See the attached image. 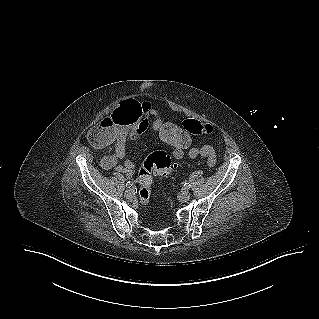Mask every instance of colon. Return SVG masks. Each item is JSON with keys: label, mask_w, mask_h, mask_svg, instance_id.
<instances>
[{"label": "colon", "mask_w": 319, "mask_h": 319, "mask_svg": "<svg viewBox=\"0 0 319 319\" xmlns=\"http://www.w3.org/2000/svg\"><path fill=\"white\" fill-rule=\"evenodd\" d=\"M180 126L182 130L179 129V124L174 123L170 118L157 116L151 120L149 131L160 143L181 151L192 147L195 140L194 135L208 137L218 133L217 128L212 127L208 121L193 117L183 119ZM173 171L174 163L165 151L152 152L142 163L137 177L140 201L143 204L149 201L152 173L160 177H168L172 176Z\"/></svg>", "instance_id": "colon-1"}]
</instances>
